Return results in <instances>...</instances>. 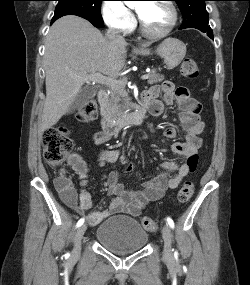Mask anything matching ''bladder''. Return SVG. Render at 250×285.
I'll use <instances>...</instances> for the list:
<instances>
[{
    "instance_id": "1",
    "label": "bladder",
    "mask_w": 250,
    "mask_h": 285,
    "mask_svg": "<svg viewBox=\"0 0 250 285\" xmlns=\"http://www.w3.org/2000/svg\"><path fill=\"white\" fill-rule=\"evenodd\" d=\"M96 240L115 254H129L141 250L148 241V234L139 222L129 216L118 215L100 223Z\"/></svg>"
}]
</instances>
